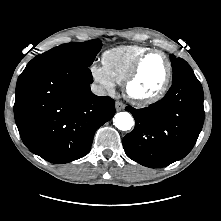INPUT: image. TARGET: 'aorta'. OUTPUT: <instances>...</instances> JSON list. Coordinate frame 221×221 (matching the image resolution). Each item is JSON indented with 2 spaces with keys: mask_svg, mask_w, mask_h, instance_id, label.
I'll return each instance as SVG.
<instances>
[{
  "mask_svg": "<svg viewBox=\"0 0 221 221\" xmlns=\"http://www.w3.org/2000/svg\"><path fill=\"white\" fill-rule=\"evenodd\" d=\"M115 126L122 131H127L134 125V119L128 112H119L114 118Z\"/></svg>",
  "mask_w": 221,
  "mask_h": 221,
  "instance_id": "obj_1",
  "label": "aorta"
}]
</instances>
